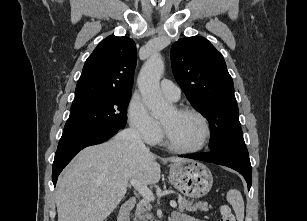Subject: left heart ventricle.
I'll return each instance as SVG.
<instances>
[{"instance_id": "1", "label": "left heart ventricle", "mask_w": 307, "mask_h": 221, "mask_svg": "<svg viewBox=\"0 0 307 221\" xmlns=\"http://www.w3.org/2000/svg\"><path fill=\"white\" fill-rule=\"evenodd\" d=\"M169 139L175 146L189 148L198 145L203 137L201 121L191 114L170 111L162 119Z\"/></svg>"}]
</instances>
